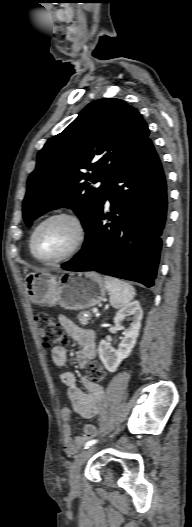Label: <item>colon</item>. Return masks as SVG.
<instances>
[{"instance_id":"colon-1","label":"colon","mask_w":192,"mask_h":527,"mask_svg":"<svg viewBox=\"0 0 192 527\" xmlns=\"http://www.w3.org/2000/svg\"><path fill=\"white\" fill-rule=\"evenodd\" d=\"M35 321L44 347L53 349L67 343L68 336L64 328L48 314H38ZM87 377L92 383L101 385L105 380V372L99 363L91 362L87 368Z\"/></svg>"}]
</instances>
